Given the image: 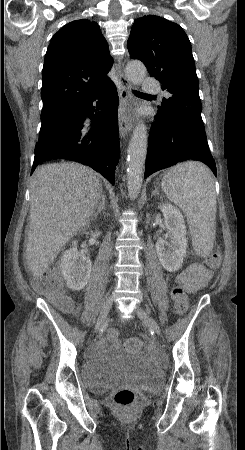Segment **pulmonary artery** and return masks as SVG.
<instances>
[{
    "mask_svg": "<svg viewBox=\"0 0 245 450\" xmlns=\"http://www.w3.org/2000/svg\"><path fill=\"white\" fill-rule=\"evenodd\" d=\"M141 84L144 93H157L159 91V86L155 78L145 77L141 81Z\"/></svg>",
    "mask_w": 245,
    "mask_h": 450,
    "instance_id": "obj_1",
    "label": "pulmonary artery"
}]
</instances>
